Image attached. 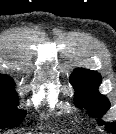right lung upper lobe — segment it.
I'll use <instances>...</instances> for the list:
<instances>
[{
  "label": "right lung upper lobe",
  "mask_w": 116,
  "mask_h": 134,
  "mask_svg": "<svg viewBox=\"0 0 116 134\" xmlns=\"http://www.w3.org/2000/svg\"><path fill=\"white\" fill-rule=\"evenodd\" d=\"M13 87H14L13 79L4 74H0V93L8 95H17Z\"/></svg>",
  "instance_id": "cb5924a9"
}]
</instances>
